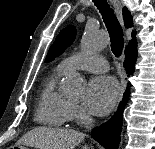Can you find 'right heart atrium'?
Instances as JSON below:
<instances>
[{
    "label": "right heart atrium",
    "instance_id": "d8ad5b80",
    "mask_svg": "<svg viewBox=\"0 0 155 149\" xmlns=\"http://www.w3.org/2000/svg\"><path fill=\"white\" fill-rule=\"evenodd\" d=\"M69 116L70 120L79 124H86L91 120L90 116L78 104L75 103H70Z\"/></svg>",
    "mask_w": 155,
    "mask_h": 149
}]
</instances>
